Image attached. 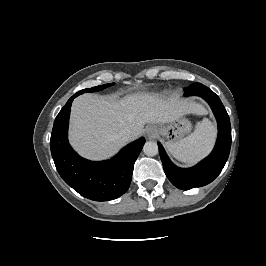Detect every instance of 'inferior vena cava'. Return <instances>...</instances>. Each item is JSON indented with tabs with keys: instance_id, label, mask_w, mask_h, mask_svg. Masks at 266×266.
Listing matches in <instances>:
<instances>
[{
	"instance_id": "inferior-vena-cava-1",
	"label": "inferior vena cava",
	"mask_w": 266,
	"mask_h": 266,
	"mask_svg": "<svg viewBox=\"0 0 266 266\" xmlns=\"http://www.w3.org/2000/svg\"><path fill=\"white\" fill-rule=\"evenodd\" d=\"M118 138L123 142H127L131 138V132L127 129H123V130L119 131Z\"/></svg>"
}]
</instances>
